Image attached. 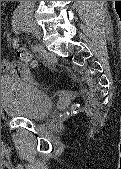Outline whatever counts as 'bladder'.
<instances>
[{
    "label": "bladder",
    "instance_id": "obj_1",
    "mask_svg": "<svg viewBox=\"0 0 121 169\" xmlns=\"http://www.w3.org/2000/svg\"><path fill=\"white\" fill-rule=\"evenodd\" d=\"M1 107L7 115L38 119L52 110L53 103L36 86L17 77L4 76L1 77Z\"/></svg>",
    "mask_w": 121,
    "mask_h": 169
}]
</instances>
